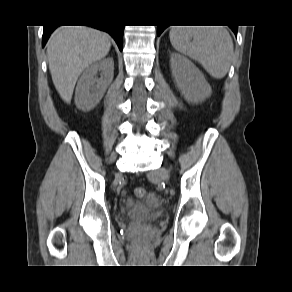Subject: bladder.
Listing matches in <instances>:
<instances>
[{"instance_id": "obj_1", "label": "bladder", "mask_w": 292, "mask_h": 292, "mask_svg": "<svg viewBox=\"0 0 292 292\" xmlns=\"http://www.w3.org/2000/svg\"><path fill=\"white\" fill-rule=\"evenodd\" d=\"M159 209V198L155 194H151L144 201L129 204L127 217L137 220H150L157 217Z\"/></svg>"}]
</instances>
